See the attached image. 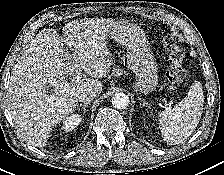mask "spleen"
Instances as JSON below:
<instances>
[{
    "label": "spleen",
    "mask_w": 224,
    "mask_h": 175,
    "mask_svg": "<svg viewBox=\"0 0 224 175\" xmlns=\"http://www.w3.org/2000/svg\"><path fill=\"white\" fill-rule=\"evenodd\" d=\"M203 105L202 85L195 81L181 102L159 114L161 133L168 145L178 144L193 133L201 119Z\"/></svg>",
    "instance_id": "spleen-1"
}]
</instances>
